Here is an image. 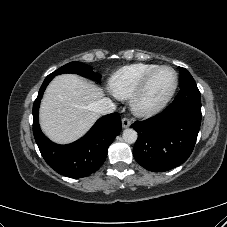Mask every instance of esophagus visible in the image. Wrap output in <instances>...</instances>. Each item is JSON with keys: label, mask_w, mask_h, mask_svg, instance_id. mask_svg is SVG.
I'll list each match as a JSON object with an SVG mask.
<instances>
[{"label": "esophagus", "mask_w": 227, "mask_h": 227, "mask_svg": "<svg viewBox=\"0 0 227 227\" xmlns=\"http://www.w3.org/2000/svg\"><path fill=\"white\" fill-rule=\"evenodd\" d=\"M130 125H131L130 119L124 117V118L122 119V127H123V128H128Z\"/></svg>", "instance_id": "esophagus-1"}]
</instances>
